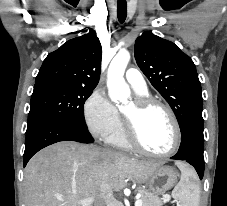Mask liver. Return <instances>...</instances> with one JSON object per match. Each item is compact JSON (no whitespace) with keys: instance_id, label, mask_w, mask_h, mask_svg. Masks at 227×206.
I'll return each mask as SVG.
<instances>
[{"instance_id":"obj_1","label":"liver","mask_w":227,"mask_h":206,"mask_svg":"<svg viewBox=\"0 0 227 206\" xmlns=\"http://www.w3.org/2000/svg\"><path fill=\"white\" fill-rule=\"evenodd\" d=\"M161 165L95 145L58 142L28 162L25 206H80L81 200L92 197L91 206H104V184L111 191H120L128 179L145 183Z\"/></svg>"}]
</instances>
